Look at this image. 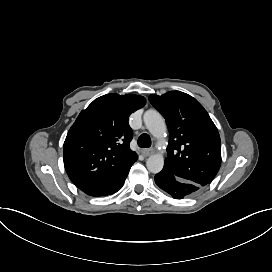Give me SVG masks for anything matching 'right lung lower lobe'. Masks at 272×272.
I'll return each instance as SVG.
<instances>
[{
	"label": "right lung lower lobe",
	"instance_id": "98d812e1",
	"mask_svg": "<svg viewBox=\"0 0 272 272\" xmlns=\"http://www.w3.org/2000/svg\"><path fill=\"white\" fill-rule=\"evenodd\" d=\"M132 165L128 166L125 170L121 171L107 181L85 187L81 190L87 195L93 197H101L113 194L123 186Z\"/></svg>",
	"mask_w": 272,
	"mask_h": 272
}]
</instances>
